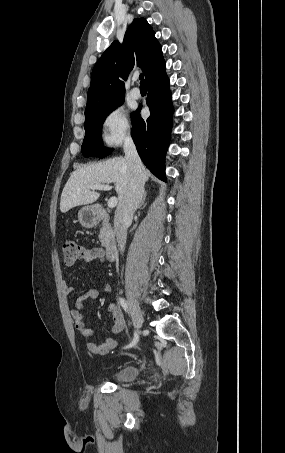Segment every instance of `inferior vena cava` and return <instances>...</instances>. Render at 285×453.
<instances>
[{
  "mask_svg": "<svg viewBox=\"0 0 285 453\" xmlns=\"http://www.w3.org/2000/svg\"><path fill=\"white\" fill-rule=\"evenodd\" d=\"M125 158L131 169L130 184L124 198L119 202L114 216V230L119 250L124 252L127 228L132 222L134 212L138 208L144 194V166L138 155L131 137L124 143Z\"/></svg>",
  "mask_w": 285,
  "mask_h": 453,
  "instance_id": "inferior-vena-cava-1",
  "label": "inferior vena cava"
}]
</instances>
